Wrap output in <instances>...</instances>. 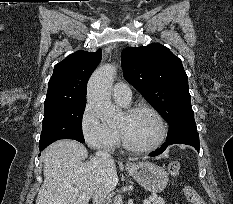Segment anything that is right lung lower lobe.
Masks as SVG:
<instances>
[{
  "label": "right lung lower lobe",
  "instance_id": "1",
  "mask_svg": "<svg viewBox=\"0 0 233 204\" xmlns=\"http://www.w3.org/2000/svg\"><path fill=\"white\" fill-rule=\"evenodd\" d=\"M44 148H46V147H44ZM44 148H39V149H40V151H42Z\"/></svg>",
  "mask_w": 233,
  "mask_h": 204
}]
</instances>
